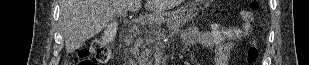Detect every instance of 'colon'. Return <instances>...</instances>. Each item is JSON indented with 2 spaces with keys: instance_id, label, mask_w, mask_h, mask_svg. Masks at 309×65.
<instances>
[{
  "instance_id": "obj_1",
  "label": "colon",
  "mask_w": 309,
  "mask_h": 65,
  "mask_svg": "<svg viewBox=\"0 0 309 65\" xmlns=\"http://www.w3.org/2000/svg\"><path fill=\"white\" fill-rule=\"evenodd\" d=\"M257 6L252 4L249 8L241 11L240 19L242 25L247 28L255 24ZM216 33H224L230 36H238L239 30H224L221 26L213 27ZM117 30L109 25L105 28L100 39L91 43L89 48L78 54L77 65H100L106 63L111 57V49L115 42ZM259 58V50L256 45L249 47L247 52V64L256 65Z\"/></svg>"
}]
</instances>
